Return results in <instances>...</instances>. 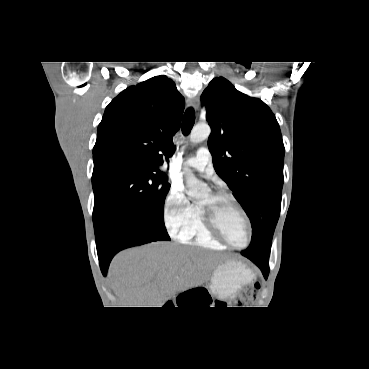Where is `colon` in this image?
<instances>
[{
  "instance_id": "obj_1",
  "label": "colon",
  "mask_w": 369,
  "mask_h": 369,
  "mask_svg": "<svg viewBox=\"0 0 369 369\" xmlns=\"http://www.w3.org/2000/svg\"><path fill=\"white\" fill-rule=\"evenodd\" d=\"M260 288L259 285H256L255 288L245 292L244 294H242L237 301L235 302L237 307H247L250 306L254 299H255V294L256 291H258Z\"/></svg>"
}]
</instances>
